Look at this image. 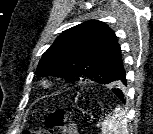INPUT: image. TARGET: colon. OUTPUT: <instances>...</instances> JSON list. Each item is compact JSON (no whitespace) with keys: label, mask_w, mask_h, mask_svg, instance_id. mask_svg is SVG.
<instances>
[{"label":"colon","mask_w":153,"mask_h":134,"mask_svg":"<svg viewBox=\"0 0 153 134\" xmlns=\"http://www.w3.org/2000/svg\"><path fill=\"white\" fill-rule=\"evenodd\" d=\"M46 132L25 131L23 134H77L74 124L63 110H57L45 120Z\"/></svg>","instance_id":"5ec220e1"}]
</instances>
